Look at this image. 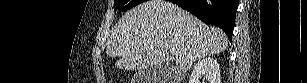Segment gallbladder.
<instances>
[{
    "mask_svg": "<svg viewBox=\"0 0 307 83\" xmlns=\"http://www.w3.org/2000/svg\"><path fill=\"white\" fill-rule=\"evenodd\" d=\"M168 77L169 81H160L164 77ZM135 83H160V82H169L171 83V77L166 75L164 71H160L157 68H147L141 71H138L134 75Z\"/></svg>",
    "mask_w": 307,
    "mask_h": 83,
    "instance_id": "bac80fb5",
    "label": "gallbladder"
}]
</instances>
